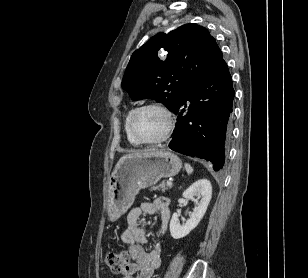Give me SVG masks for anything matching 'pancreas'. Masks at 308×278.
<instances>
[{"label": "pancreas", "instance_id": "cf45deb5", "mask_svg": "<svg viewBox=\"0 0 308 278\" xmlns=\"http://www.w3.org/2000/svg\"><path fill=\"white\" fill-rule=\"evenodd\" d=\"M159 188L161 189V191L164 193L166 191H168L171 186H168L164 181L159 185ZM159 188H156V189H159Z\"/></svg>", "mask_w": 308, "mask_h": 278}]
</instances>
